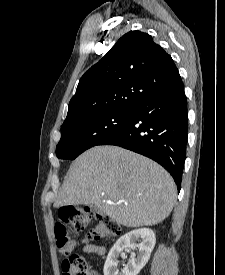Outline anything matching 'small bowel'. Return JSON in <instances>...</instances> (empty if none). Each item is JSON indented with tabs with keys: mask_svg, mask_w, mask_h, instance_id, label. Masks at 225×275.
Returning a JSON list of instances; mask_svg holds the SVG:
<instances>
[{
	"mask_svg": "<svg viewBox=\"0 0 225 275\" xmlns=\"http://www.w3.org/2000/svg\"><path fill=\"white\" fill-rule=\"evenodd\" d=\"M82 252L85 254H96L102 256L106 253V249L101 244L91 243L89 240H83ZM89 275H99L97 272L92 271Z\"/></svg>",
	"mask_w": 225,
	"mask_h": 275,
	"instance_id": "1",
	"label": "small bowel"
}]
</instances>
